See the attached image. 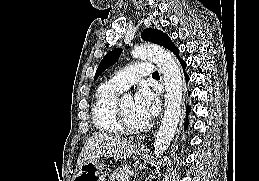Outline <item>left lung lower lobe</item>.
Returning <instances> with one entry per match:
<instances>
[{
	"label": "left lung lower lobe",
	"instance_id": "obj_1",
	"mask_svg": "<svg viewBox=\"0 0 259 181\" xmlns=\"http://www.w3.org/2000/svg\"><path fill=\"white\" fill-rule=\"evenodd\" d=\"M169 50L172 51V52L177 56V58L179 59L181 65H182V67H183V70H184L185 67H186V63H185L182 59L179 58V50H178V48H176V46L173 44V45L169 48ZM185 79H186V81L188 82L189 77H188V75H187L186 73H185ZM190 110H191V108L188 107V108H187V114L190 113ZM187 125H188V118L186 119V127H187Z\"/></svg>",
	"mask_w": 259,
	"mask_h": 181
}]
</instances>
